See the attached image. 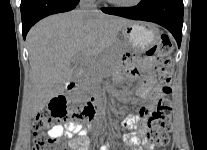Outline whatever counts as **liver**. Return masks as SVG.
I'll return each mask as SVG.
<instances>
[{
	"label": "liver",
	"instance_id": "6515ba94",
	"mask_svg": "<svg viewBox=\"0 0 207 150\" xmlns=\"http://www.w3.org/2000/svg\"><path fill=\"white\" fill-rule=\"evenodd\" d=\"M131 21L81 10L49 16L29 31L26 42L31 66L23 107L33 118L64 91L73 78L74 59L93 60L114 46L122 27Z\"/></svg>",
	"mask_w": 207,
	"mask_h": 150
}]
</instances>
